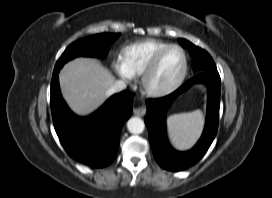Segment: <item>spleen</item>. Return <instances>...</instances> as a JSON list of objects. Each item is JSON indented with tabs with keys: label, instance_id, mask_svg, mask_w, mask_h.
Masks as SVG:
<instances>
[{
	"label": "spleen",
	"instance_id": "3e777b00",
	"mask_svg": "<svg viewBox=\"0 0 272 198\" xmlns=\"http://www.w3.org/2000/svg\"><path fill=\"white\" fill-rule=\"evenodd\" d=\"M204 124L201 110L174 114L167 118V131L171 143L178 149L190 148L199 138Z\"/></svg>",
	"mask_w": 272,
	"mask_h": 198
}]
</instances>
